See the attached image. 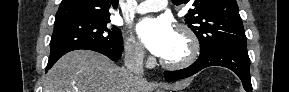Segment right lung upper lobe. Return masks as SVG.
<instances>
[{
  "instance_id": "cb5924a9",
  "label": "right lung upper lobe",
  "mask_w": 289,
  "mask_h": 92,
  "mask_svg": "<svg viewBox=\"0 0 289 92\" xmlns=\"http://www.w3.org/2000/svg\"><path fill=\"white\" fill-rule=\"evenodd\" d=\"M118 0H62L55 21L68 18H109V7L117 8Z\"/></svg>"
}]
</instances>
